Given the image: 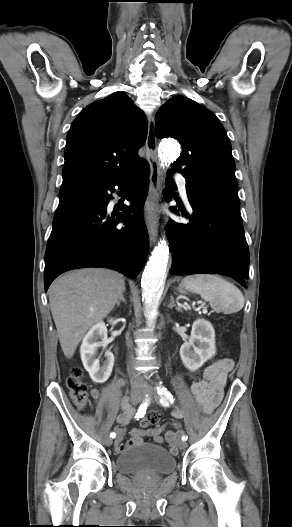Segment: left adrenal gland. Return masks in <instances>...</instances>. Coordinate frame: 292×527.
<instances>
[{
    "label": "left adrenal gland",
    "mask_w": 292,
    "mask_h": 527,
    "mask_svg": "<svg viewBox=\"0 0 292 527\" xmlns=\"http://www.w3.org/2000/svg\"><path fill=\"white\" fill-rule=\"evenodd\" d=\"M170 300L171 301H170V303L168 305V308L172 309L173 307H175L177 311H182V309L175 304L173 296L170 297Z\"/></svg>",
    "instance_id": "a2214340"
}]
</instances>
